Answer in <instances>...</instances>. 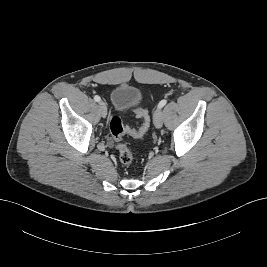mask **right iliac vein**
Returning a JSON list of instances; mask_svg holds the SVG:
<instances>
[{"label":"right iliac vein","instance_id":"right-iliac-vein-1","mask_svg":"<svg viewBox=\"0 0 267 267\" xmlns=\"http://www.w3.org/2000/svg\"><path fill=\"white\" fill-rule=\"evenodd\" d=\"M99 111H100L101 116L105 118L107 115V106L103 101L99 102Z\"/></svg>","mask_w":267,"mask_h":267}]
</instances>
